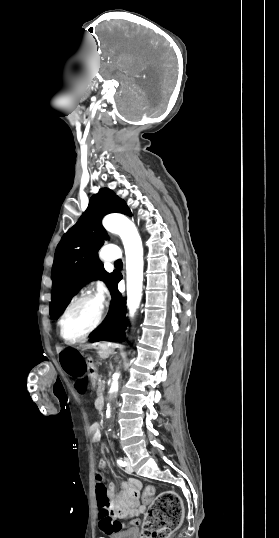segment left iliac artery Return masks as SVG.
Listing matches in <instances>:
<instances>
[{
  "label": "left iliac artery",
  "instance_id": "obj_1",
  "mask_svg": "<svg viewBox=\"0 0 279 538\" xmlns=\"http://www.w3.org/2000/svg\"><path fill=\"white\" fill-rule=\"evenodd\" d=\"M117 463H118L119 466H121V467L126 466V462H125L122 458H119V459L117 460Z\"/></svg>",
  "mask_w": 279,
  "mask_h": 538
}]
</instances>
